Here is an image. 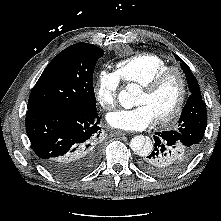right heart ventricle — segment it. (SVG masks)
<instances>
[{
    "instance_id": "obj_1",
    "label": "right heart ventricle",
    "mask_w": 221,
    "mask_h": 221,
    "mask_svg": "<svg viewBox=\"0 0 221 221\" xmlns=\"http://www.w3.org/2000/svg\"><path fill=\"white\" fill-rule=\"evenodd\" d=\"M169 64L160 56L140 53L116 64L115 74L125 84L143 85Z\"/></svg>"
}]
</instances>
